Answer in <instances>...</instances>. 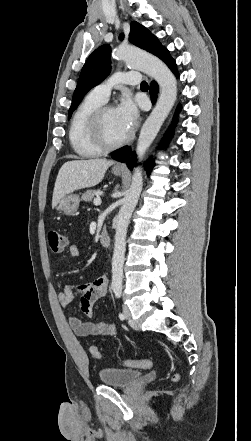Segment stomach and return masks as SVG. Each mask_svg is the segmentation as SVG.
Instances as JSON below:
<instances>
[{
	"instance_id": "obj_1",
	"label": "stomach",
	"mask_w": 251,
	"mask_h": 441,
	"mask_svg": "<svg viewBox=\"0 0 251 441\" xmlns=\"http://www.w3.org/2000/svg\"><path fill=\"white\" fill-rule=\"evenodd\" d=\"M112 173L116 176H120L123 171L112 169ZM80 199L76 194H68L61 198L55 205V209L59 212H63L65 215H73L77 212L79 207Z\"/></svg>"
}]
</instances>
